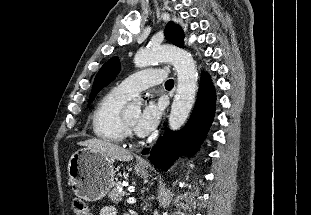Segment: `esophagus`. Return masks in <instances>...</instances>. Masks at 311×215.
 <instances>
[{"mask_svg":"<svg viewBox=\"0 0 311 215\" xmlns=\"http://www.w3.org/2000/svg\"><path fill=\"white\" fill-rule=\"evenodd\" d=\"M139 164H140V165H144L145 162L141 160V161H139Z\"/></svg>","mask_w":311,"mask_h":215,"instance_id":"esophagus-1","label":"esophagus"}]
</instances>
